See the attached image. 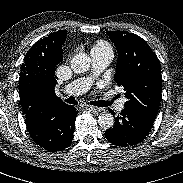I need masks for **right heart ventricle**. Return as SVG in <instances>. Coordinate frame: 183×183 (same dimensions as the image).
I'll return each instance as SVG.
<instances>
[{"label":"right heart ventricle","mask_w":183,"mask_h":183,"mask_svg":"<svg viewBox=\"0 0 183 183\" xmlns=\"http://www.w3.org/2000/svg\"><path fill=\"white\" fill-rule=\"evenodd\" d=\"M92 52H108L112 54L113 51L111 45L107 41L99 40L92 48Z\"/></svg>","instance_id":"e07e8e85"}]
</instances>
